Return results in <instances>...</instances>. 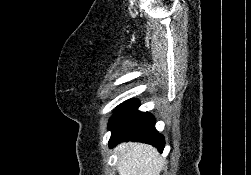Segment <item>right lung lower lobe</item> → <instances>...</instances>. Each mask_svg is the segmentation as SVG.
Instances as JSON below:
<instances>
[{
	"label": "right lung lower lobe",
	"instance_id": "obj_1",
	"mask_svg": "<svg viewBox=\"0 0 251 175\" xmlns=\"http://www.w3.org/2000/svg\"><path fill=\"white\" fill-rule=\"evenodd\" d=\"M139 102L129 100L117 107L115 115L109 122L112 131L109 146L121 141H139L152 144L162 152L164 137L155 129V118L148 112L138 111Z\"/></svg>",
	"mask_w": 251,
	"mask_h": 175
}]
</instances>
